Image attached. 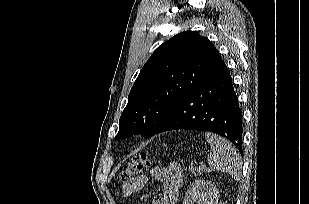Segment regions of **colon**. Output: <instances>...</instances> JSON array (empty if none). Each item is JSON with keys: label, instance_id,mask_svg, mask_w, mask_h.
<instances>
[{"label": "colon", "instance_id": "1", "mask_svg": "<svg viewBox=\"0 0 309 204\" xmlns=\"http://www.w3.org/2000/svg\"><path fill=\"white\" fill-rule=\"evenodd\" d=\"M150 157L146 152H142L133 157L121 173V181L128 183L141 175L150 166Z\"/></svg>", "mask_w": 309, "mask_h": 204}]
</instances>
